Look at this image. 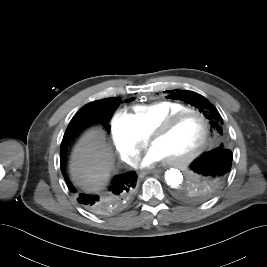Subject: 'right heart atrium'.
<instances>
[{
    "mask_svg": "<svg viewBox=\"0 0 267 267\" xmlns=\"http://www.w3.org/2000/svg\"><path fill=\"white\" fill-rule=\"evenodd\" d=\"M110 128L113 143L121 159L129 165L135 164L145 144V137L124 112H116L112 116Z\"/></svg>",
    "mask_w": 267,
    "mask_h": 267,
    "instance_id": "1",
    "label": "right heart atrium"
}]
</instances>
